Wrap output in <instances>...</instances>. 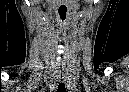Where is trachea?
Masks as SVG:
<instances>
[{"label":"trachea","instance_id":"3493384b","mask_svg":"<svg viewBox=\"0 0 129 92\" xmlns=\"http://www.w3.org/2000/svg\"><path fill=\"white\" fill-rule=\"evenodd\" d=\"M57 92H66L65 84L60 83L57 89Z\"/></svg>","mask_w":129,"mask_h":92}]
</instances>
